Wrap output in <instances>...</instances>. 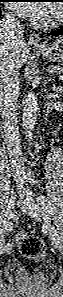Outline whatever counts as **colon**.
Listing matches in <instances>:
<instances>
[{"instance_id":"obj_1","label":"colon","mask_w":63,"mask_h":297,"mask_svg":"<svg viewBox=\"0 0 63 297\" xmlns=\"http://www.w3.org/2000/svg\"><path fill=\"white\" fill-rule=\"evenodd\" d=\"M20 253L32 260H41L44 256V244L41 239L28 234H19L16 237Z\"/></svg>"}]
</instances>
